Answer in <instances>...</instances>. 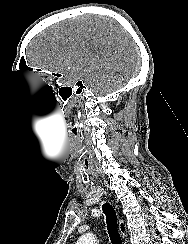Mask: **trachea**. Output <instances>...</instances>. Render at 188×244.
Instances as JSON below:
<instances>
[{"label":"trachea","instance_id":"3493384b","mask_svg":"<svg viewBox=\"0 0 188 244\" xmlns=\"http://www.w3.org/2000/svg\"><path fill=\"white\" fill-rule=\"evenodd\" d=\"M103 213L106 216L107 230L112 244H122V239L118 231L117 215L114 208L105 203L102 206Z\"/></svg>","mask_w":188,"mask_h":244}]
</instances>
